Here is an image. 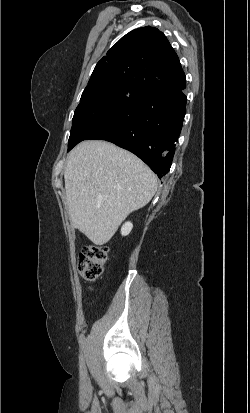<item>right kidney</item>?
I'll list each match as a JSON object with an SVG mask.
<instances>
[{
  "label": "right kidney",
  "instance_id": "1",
  "mask_svg": "<svg viewBox=\"0 0 250 413\" xmlns=\"http://www.w3.org/2000/svg\"><path fill=\"white\" fill-rule=\"evenodd\" d=\"M133 228V224L131 222H126L121 228L122 236L128 235Z\"/></svg>",
  "mask_w": 250,
  "mask_h": 413
}]
</instances>
